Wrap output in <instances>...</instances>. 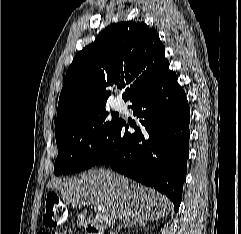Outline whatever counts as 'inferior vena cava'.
Here are the masks:
<instances>
[{
  "label": "inferior vena cava",
  "mask_w": 241,
  "mask_h": 234,
  "mask_svg": "<svg viewBox=\"0 0 241 234\" xmlns=\"http://www.w3.org/2000/svg\"><path fill=\"white\" fill-rule=\"evenodd\" d=\"M110 234H114V232H112V231H111V233H110Z\"/></svg>",
  "instance_id": "obj_1"
}]
</instances>
